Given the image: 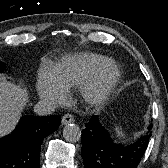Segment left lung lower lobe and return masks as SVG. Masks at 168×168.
Listing matches in <instances>:
<instances>
[{
  "instance_id": "obj_1",
  "label": "left lung lower lobe",
  "mask_w": 168,
  "mask_h": 168,
  "mask_svg": "<svg viewBox=\"0 0 168 168\" xmlns=\"http://www.w3.org/2000/svg\"><path fill=\"white\" fill-rule=\"evenodd\" d=\"M151 128L152 124L148 130ZM149 131L130 145L116 143L98 116H92L82 130L81 154L85 168H137L151 137Z\"/></svg>"
}]
</instances>
